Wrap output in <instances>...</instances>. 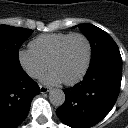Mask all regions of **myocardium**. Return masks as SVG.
<instances>
[{"label": "myocardium", "mask_w": 128, "mask_h": 128, "mask_svg": "<svg viewBox=\"0 0 128 128\" xmlns=\"http://www.w3.org/2000/svg\"><path fill=\"white\" fill-rule=\"evenodd\" d=\"M74 37H80L85 41L86 46H87V57H86V61H85V64H84L82 71L75 78L68 80V81H62V83L67 85V86L75 85L78 82H80L84 78V76L86 75V73L90 67L91 59H92V45H91L90 39L83 33L70 34L68 37H66L60 43L55 54L53 55V57L51 58V60L48 63V68L51 70L53 64L55 62H57L60 59V57L62 56V53H63L64 48H65L66 44L68 43V41Z\"/></svg>", "instance_id": "myocardium-1"}]
</instances>
